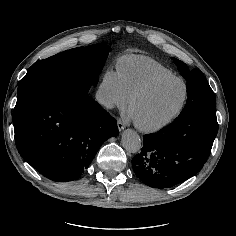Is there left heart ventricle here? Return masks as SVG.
Instances as JSON below:
<instances>
[{
  "label": "left heart ventricle",
  "instance_id": "left-heart-ventricle-1",
  "mask_svg": "<svg viewBox=\"0 0 236 236\" xmlns=\"http://www.w3.org/2000/svg\"><path fill=\"white\" fill-rule=\"evenodd\" d=\"M183 94L184 86L181 82H164L136 100L132 106L131 115L144 125L159 123L177 110Z\"/></svg>",
  "mask_w": 236,
  "mask_h": 236
}]
</instances>
